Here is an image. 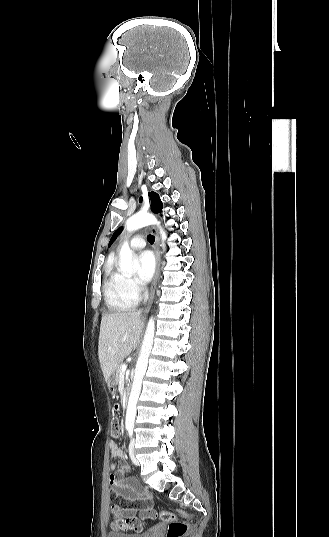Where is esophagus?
Listing matches in <instances>:
<instances>
[{
  "label": "esophagus",
  "mask_w": 329,
  "mask_h": 537,
  "mask_svg": "<svg viewBox=\"0 0 329 537\" xmlns=\"http://www.w3.org/2000/svg\"><path fill=\"white\" fill-rule=\"evenodd\" d=\"M151 230L155 235L154 251H155V257H156V270H155V274H154L152 284H151V290H150V296H149V300H148V305H147L145 311L148 310L149 304H150V302L152 301V299L154 297L155 286H156L158 273H159V236H158L157 230H156V228L154 226L151 227Z\"/></svg>",
  "instance_id": "1"
}]
</instances>
